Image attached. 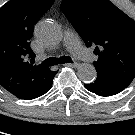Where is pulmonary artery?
Here are the masks:
<instances>
[{
	"mask_svg": "<svg viewBox=\"0 0 135 135\" xmlns=\"http://www.w3.org/2000/svg\"><path fill=\"white\" fill-rule=\"evenodd\" d=\"M64 42L69 51L77 58L88 62L95 59V55L80 44L79 39L73 30L68 29L65 31Z\"/></svg>",
	"mask_w": 135,
	"mask_h": 135,
	"instance_id": "obj_1",
	"label": "pulmonary artery"
}]
</instances>
